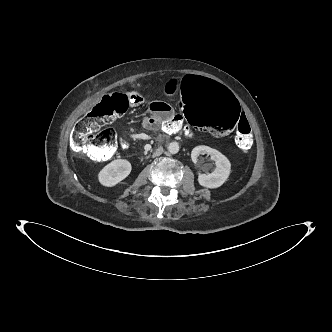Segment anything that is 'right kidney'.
<instances>
[{"mask_svg":"<svg viewBox=\"0 0 332 332\" xmlns=\"http://www.w3.org/2000/svg\"><path fill=\"white\" fill-rule=\"evenodd\" d=\"M131 170L132 166L128 160L116 159L100 170L98 180L105 187H113L128 177Z\"/></svg>","mask_w":332,"mask_h":332,"instance_id":"right-kidney-1","label":"right kidney"}]
</instances>
